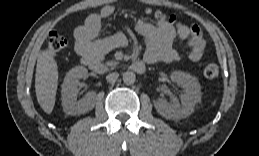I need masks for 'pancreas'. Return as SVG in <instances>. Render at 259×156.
Here are the masks:
<instances>
[{"label": "pancreas", "mask_w": 259, "mask_h": 156, "mask_svg": "<svg viewBox=\"0 0 259 156\" xmlns=\"http://www.w3.org/2000/svg\"><path fill=\"white\" fill-rule=\"evenodd\" d=\"M107 66H109L111 69H113L115 66H117L119 64V62L117 61H108Z\"/></svg>", "instance_id": "1"}]
</instances>
